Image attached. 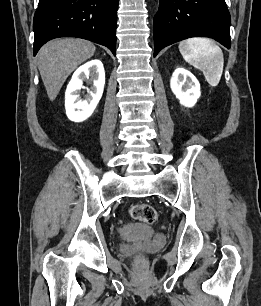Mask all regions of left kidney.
Instances as JSON below:
<instances>
[{
    "label": "left kidney",
    "instance_id": "1",
    "mask_svg": "<svg viewBox=\"0 0 261 306\" xmlns=\"http://www.w3.org/2000/svg\"><path fill=\"white\" fill-rule=\"evenodd\" d=\"M170 87L180 104L185 107H193L201 95L198 80L184 68H177L174 71Z\"/></svg>",
    "mask_w": 261,
    "mask_h": 306
}]
</instances>
